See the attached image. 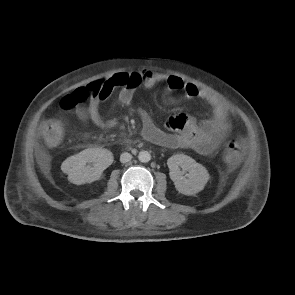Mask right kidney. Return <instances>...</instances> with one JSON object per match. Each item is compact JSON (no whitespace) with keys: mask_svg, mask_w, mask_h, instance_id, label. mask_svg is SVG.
<instances>
[{"mask_svg":"<svg viewBox=\"0 0 295 295\" xmlns=\"http://www.w3.org/2000/svg\"><path fill=\"white\" fill-rule=\"evenodd\" d=\"M113 162V154L103 148H88L68 157L61 165V170L68 175V180L76 185L99 180L103 171ZM86 163L89 165L86 166ZM92 164V165H90Z\"/></svg>","mask_w":295,"mask_h":295,"instance_id":"1","label":"right kidney"}]
</instances>
